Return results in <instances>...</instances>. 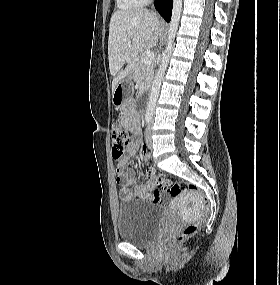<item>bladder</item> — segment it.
I'll use <instances>...</instances> for the list:
<instances>
[{"label":"bladder","mask_w":280,"mask_h":285,"mask_svg":"<svg viewBox=\"0 0 280 285\" xmlns=\"http://www.w3.org/2000/svg\"><path fill=\"white\" fill-rule=\"evenodd\" d=\"M163 211L142 200L124 201L119 205L117 229L119 238L138 245L149 244L158 234Z\"/></svg>","instance_id":"obj_1"}]
</instances>
